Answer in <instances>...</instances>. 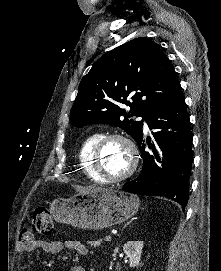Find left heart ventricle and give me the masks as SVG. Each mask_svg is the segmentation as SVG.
<instances>
[{
	"mask_svg": "<svg viewBox=\"0 0 221 271\" xmlns=\"http://www.w3.org/2000/svg\"><path fill=\"white\" fill-rule=\"evenodd\" d=\"M174 87V86H169ZM100 141H106L101 144V152L99 153L100 166H103L104 172H108V177H120L121 169H127L128 161H124V156H128L127 152L122 149L123 138L114 137Z\"/></svg>",
	"mask_w": 221,
	"mask_h": 271,
	"instance_id": "obj_1",
	"label": "left heart ventricle"
}]
</instances>
